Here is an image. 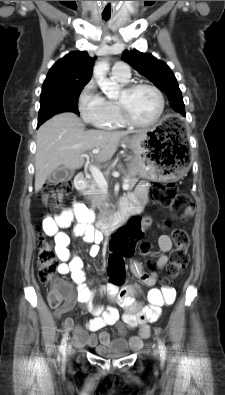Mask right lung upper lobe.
Returning a JSON list of instances; mask_svg holds the SVG:
<instances>
[{
	"label": "right lung upper lobe",
	"mask_w": 225,
	"mask_h": 395,
	"mask_svg": "<svg viewBox=\"0 0 225 395\" xmlns=\"http://www.w3.org/2000/svg\"><path fill=\"white\" fill-rule=\"evenodd\" d=\"M96 57L86 51H74L57 61L50 69L43 86L87 84L92 76Z\"/></svg>",
	"instance_id": "cb5924a9"
}]
</instances>
